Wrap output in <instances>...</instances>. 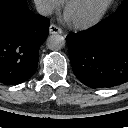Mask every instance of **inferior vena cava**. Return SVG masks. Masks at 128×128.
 <instances>
[{"instance_id":"inferior-vena-cava-1","label":"inferior vena cava","mask_w":128,"mask_h":128,"mask_svg":"<svg viewBox=\"0 0 128 128\" xmlns=\"http://www.w3.org/2000/svg\"><path fill=\"white\" fill-rule=\"evenodd\" d=\"M37 12L41 15L47 16L52 14V7L44 1L38 0L36 2Z\"/></svg>"}]
</instances>
